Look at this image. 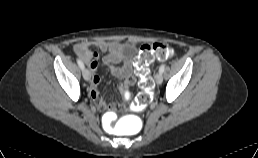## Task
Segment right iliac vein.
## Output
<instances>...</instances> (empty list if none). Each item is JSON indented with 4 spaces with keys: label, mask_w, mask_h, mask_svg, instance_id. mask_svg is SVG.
<instances>
[{
    "label": "right iliac vein",
    "mask_w": 258,
    "mask_h": 158,
    "mask_svg": "<svg viewBox=\"0 0 258 158\" xmlns=\"http://www.w3.org/2000/svg\"><path fill=\"white\" fill-rule=\"evenodd\" d=\"M82 74H83V77H84V79H85L86 81H89V80H90V78H91V73H90V71H89L88 69H83Z\"/></svg>",
    "instance_id": "right-iliac-vein-1"
}]
</instances>
